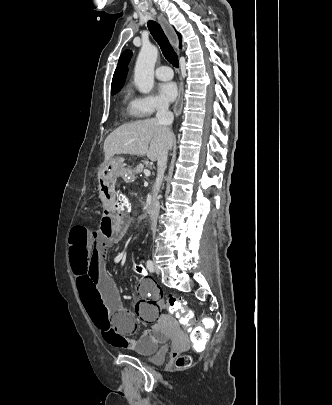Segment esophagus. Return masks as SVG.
I'll use <instances>...</instances> for the list:
<instances>
[{"label":"esophagus","mask_w":332,"mask_h":405,"mask_svg":"<svg viewBox=\"0 0 332 405\" xmlns=\"http://www.w3.org/2000/svg\"><path fill=\"white\" fill-rule=\"evenodd\" d=\"M158 20H159L161 26L163 27L165 33L167 34L168 38L170 39L171 43L174 46H177V44H178L177 36H176L174 30L172 29V27L167 22V20L161 15L158 17ZM182 106H183V101H182V93L180 90L178 99H177V101L175 103V107H174V111L177 116L180 115V113L182 111Z\"/></svg>","instance_id":"34e87169"}]
</instances>
